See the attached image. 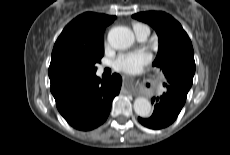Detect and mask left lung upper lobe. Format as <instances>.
Instances as JSON below:
<instances>
[{"label":"left lung upper lobe","mask_w":230,"mask_h":155,"mask_svg":"<svg viewBox=\"0 0 230 155\" xmlns=\"http://www.w3.org/2000/svg\"><path fill=\"white\" fill-rule=\"evenodd\" d=\"M132 17L156 30L159 50L152 65L161 68L167 80H179L191 87L195 73L194 51L181 24L161 11L140 12Z\"/></svg>","instance_id":"1"}]
</instances>
